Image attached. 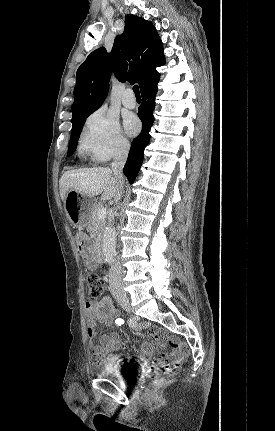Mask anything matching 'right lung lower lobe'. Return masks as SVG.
<instances>
[{
    "instance_id": "right-lung-lower-lobe-1",
    "label": "right lung lower lobe",
    "mask_w": 275,
    "mask_h": 431,
    "mask_svg": "<svg viewBox=\"0 0 275 431\" xmlns=\"http://www.w3.org/2000/svg\"><path fill=\"white\" fill-rule=\"evenodd\" d=\"M159 80L147 87L142 94L143 102L139 107L138 116L142 121L143 129L141 134L133 140L124 166V174L132 184L139 172L143 162V152L150 141V128L154 122L153 110L155 107V95L157 93V83Z\"/></svg>"
}]
</instances>
